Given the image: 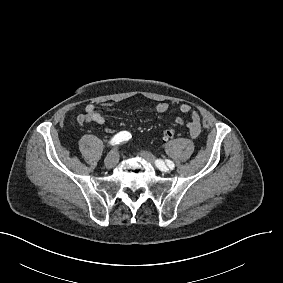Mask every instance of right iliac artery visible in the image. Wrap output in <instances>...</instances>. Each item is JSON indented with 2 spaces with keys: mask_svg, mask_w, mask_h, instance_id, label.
<instances>
[{
  "mask_svg": "<svg viewBox=\"0 0 283 283\" xmlns=\"http://www.w3.org/2000/svg\"><path fill=\"white\" fill-rule=\"evenodd\" d=\"M131 134L127 131H122L116 134L110 141L111 145H118L124 141H127L131 138Z\"/></svg>",
  "mask_w": 283,
  "mask_h": 283,
  "instance_id": "1",
  "label": "right iliac artery"
}]
</instances>
